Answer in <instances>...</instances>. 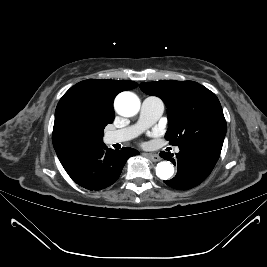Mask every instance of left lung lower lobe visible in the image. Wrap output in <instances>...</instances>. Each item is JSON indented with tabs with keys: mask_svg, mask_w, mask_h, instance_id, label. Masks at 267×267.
Wrapping results in <instances>:
<instances>
[{
	"mask_svg": "<svg viewBox=\"0 0 267 267\" xmlns=\"http://www.w3.org/2000/svg\"><path fill=\"white\" fill-rule=\"evenodd\" d=\"M179 149L176 160L169 152L160 153L162 158L177 164L176 176L164 182L178 190H188L203 182L213 170L221 152V149L207 145L184 146Z\"/></svg>",
	"mask_w": 267,
	"mask_h": 267,
	"instance_id": "0a47b994",
	"label": "left lung lower lobe"
}]
</instances>
